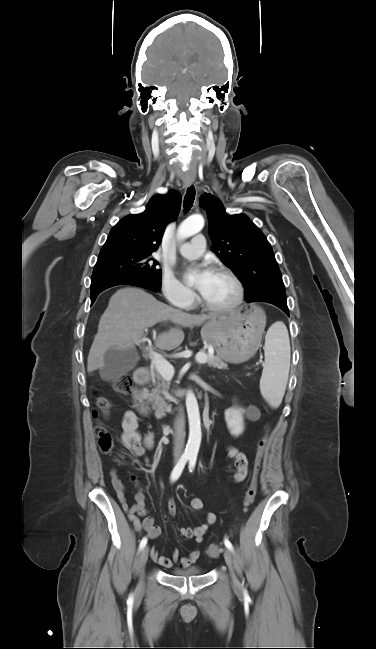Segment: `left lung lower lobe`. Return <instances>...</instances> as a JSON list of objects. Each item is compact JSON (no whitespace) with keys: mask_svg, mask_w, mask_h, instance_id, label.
<instances>
[{"mask_svg":"<svg viewBox=\"0 0 376 649\" xmlns=\"http://www.w3.org/2000/svg\"><path fill=\"white\" fill-rule=\"evenodd\" d=\"M264 302H268V303L276 305L277 307H279L281 310H283L289 316V309L287 307V303L279 302V301L272 300V299H267Z\"/></svg>","mask_w":376,"mask_h":649,"instance_id":"0a47b994","label":"left lung lower lobe"}]
</instances>
